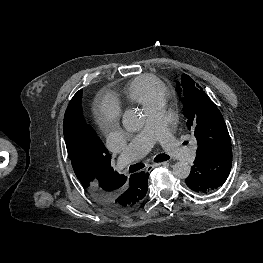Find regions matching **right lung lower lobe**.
Masks as SVG:
<instances>
[{
  "label": "right lung lower lobe",
  "instance_id": "1",
  "mask_svg": "<svg viewBox=\"0 0 263 263\" xmlns=\"http://www.w3.org/2000/svg\"><path fill=\"white\" fill-rule=\"evenodd\" d=\"M148 173L140 172L133 174L132 181L138 185L146 187V193L148 188ZM120 186V185H117ZM102 207L112 212H120L121 209L129 202V196L125 191L119 190L116 194L110 196H100L94 198Z\"/></svg>",
  "mask_w": 263,
  "mask_h": 263
}]
</instances>
